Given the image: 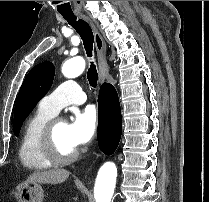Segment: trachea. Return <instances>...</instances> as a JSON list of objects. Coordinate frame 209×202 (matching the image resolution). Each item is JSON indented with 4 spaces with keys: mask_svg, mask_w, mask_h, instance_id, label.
<instances>
[{
    "mask_svg": "<svg viewBox=\"0 0 209 202\" xmlns=\"http://www.w3.org/2000/svg\"><path fill=\"white\" fill-rule=\"evenodd\" d=\"M64 19L67 20L76 32L80 35L86 54L89 58L92 57L94 36L91 27L87 22L82 19L77 20V17L74 14L71 15H62ZM87 79L91 87L95 88L97 86L98 73L96 65L91 62L90 67L87 71Z\"/></svg>",
    "mask_w": 209,
    "mask_h": 202,
    "instance_id": "trachea-1",
    "label": "trachea"
}]
</instances>
